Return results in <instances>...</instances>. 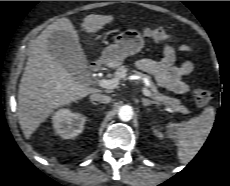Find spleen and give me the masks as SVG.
Segmentation results:
<instances>
[{
	"label": "spleen",
	"mask_w": 230,
	"mask_h": 186,
	"mask_svg": "<svg viewBox=\"0 0 230 186\" xmlns=\"http://www.w3.org/2000/svg\"><path fill=\"white\" fill-rule=\"evenodd\" d=\"M215 120L212 106L204 109L201 115L186 122L167 124V134L174 139L178 148V159L182 163L190 162L205 143Z\"/></svg>",
	"instance_id": "3e777b00"
}]
</instances>
